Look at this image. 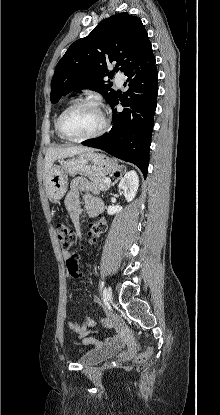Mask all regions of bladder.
I'll use <instances>...</instances> for the list:
<instances>
[{
  "label": "bladder",
  "mask_w": 220,
  "mask_h": 415,
  "mask_svg": "<svg viewBox=\"0 0 220 415\" xmlns=\"http://www.w3.org/2000/svg\"><path fill=\"white\" fill-rule=\"evenodd\" d=\"M121 351L122 348L119 346L91 349L80 357L79 363L83 366L96 365L102 361L116 357Z\"/></svg>",
  "instance_id": "bladder-1"
}]
</instances>
